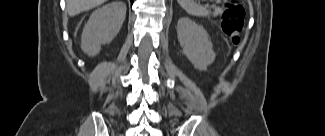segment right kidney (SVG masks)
I'll return each instance as SVG.
<instances>
[{
    "label": "right kidney",
    "mask_w": 325,
    "mask_h": 136,
    "mask_svg": "<svg viewBox=\"0 0 325 136\" xmlns=\"http://www.w3.org/2000/svg\"><path fill=\"white\" fill-rule=\"evenodd\" d=\"M126 15V5L115 0L95 10L81 36V49L89 56L99 53L101 45L110 43L119 33Z\"/></svg>",
    "instance_id": "1"
}]
</instances>
